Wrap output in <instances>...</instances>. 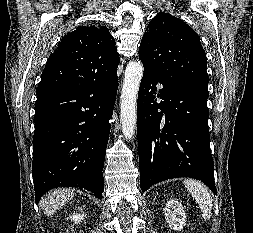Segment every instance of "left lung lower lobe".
I'll use <instances>...</instances> for the list:
<instances>
[{"instance_id":"obj_1","label":"left lung lower lobe","mask_w":253,"mask_h":233,"mask_svg":"<svg viewBox=\"0 0 253 233\" xmlns=\"http://www.w3.org/2000/svg\"><path fill=\"white\" fill-rule=\"evenodd\" d=\"M163 88L157 94L156 85ZM157 98L161 102L157 103ZM207 86L163 83L144 67L137 105L140 187L176 177L204 182L214 194V164L210 152Z\"/></svg>"}]
</instances>
